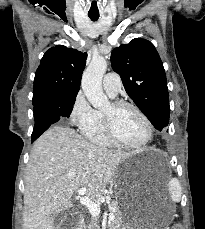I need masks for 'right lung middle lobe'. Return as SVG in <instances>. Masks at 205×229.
<instances>
[{
    "instance_id": "obj_1",
    "label": "right lung middle lobe",
    "mask_w": 205,
    "mask_h": 229,
    "mask_svg": "<svg viewBox=\"0 0 205 229\" xmlns=\"http://www.w3.org/2000/svg\"><path fill=\"white\" fill-rule=\"evenodd\" d=\"M76 95L77 93H74V94H69L68 95V98H70L72 101H75V98H76ZM50 98H53V97H49V98H44V99H41V100H38V101H33V106H36L38 105L39 103L47 100V99H50Z\"/></svg>"
}]
</instances>
